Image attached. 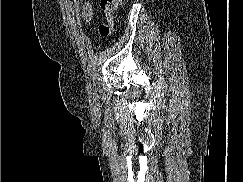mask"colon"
Masks as SVG:
<instances>
[{
  "label": "colon",
  "mask_w": 243,
  "mask_h": 182,
  "mask_svg": "<svg viewBox=\"0 0 243 182\" xmlns=\"http://www.w3.org/2000/svg\"><path fill=\"white\" fill-rule=\"evenodd\" d=\"M124 2L125 0H99V8L105 16V21L98 27L100 37L107 38L112 34L114 13Z\"/></svg>",
  "instance_id": "5ec220e1"
}]
</instances>
